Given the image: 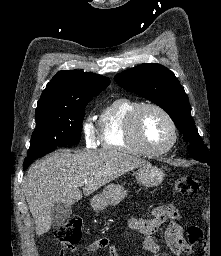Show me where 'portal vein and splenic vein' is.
Listing matches in <instances>:
<instances>
[{"instance_id":"portal-vein-and-splenic-vein-1","label":"portal vein and splenic vein","mask_w":221,"mask_h":256,"mask_svg":"<svg viewBox=\"0 0 221 256\" xmlns=\"http://www.w3.org/2000/svg\"><path fill=\"white\" fill-rule=\"evenodd\" d=\"M83 185H84V182H83V181H81V182L78 183V186H83Z\"/></svg>"}]
</instances>
